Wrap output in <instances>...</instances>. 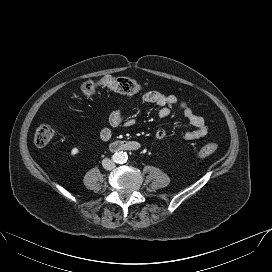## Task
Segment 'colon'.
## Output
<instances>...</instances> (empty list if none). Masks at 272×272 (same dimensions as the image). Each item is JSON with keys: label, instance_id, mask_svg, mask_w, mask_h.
I'll return each instance as SVG.
<instances>
[{"label": "colon", "instance_id": "5ec220e1", "mask_svg": "<svg viewBox=\"0 0 272 272\" xmlns=\"http://www.w3.org/2000/svg\"><path fill=\"white\" fill-rule=\"evenodd\" d=\"M108 88L120 94H134L143 89V85L129 77H115L105 75L99 80H87L80 87L81 94L84 96L93 95L99 87ZM53 138V129L46 124L39 125L34 133V143L37 146H46ZM218 145L214 142L207 143L198 152V157L205 158L214 154Z\"/></svg>", "mask_w": 272, "mask_h": 272}]
</instances>
